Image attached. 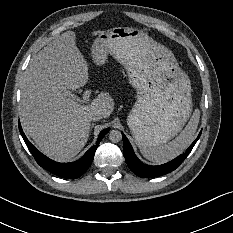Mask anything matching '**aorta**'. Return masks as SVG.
<instances>
[{"label": "aorta", "instance_id": "762f6f07", "mask_svg": "<svg viewBox=\"0 0 233 233\" xmlns=\"http://www.w3.org/2000/svg\"><path fill=\"white\" fill-rule=\"evenodd\" d=\"M122 138V133L117 130L113 129L109 132V139L111 142H119Z\"/></svg>", "mask_w": 233, "mask_h": 233}]
</instances>
